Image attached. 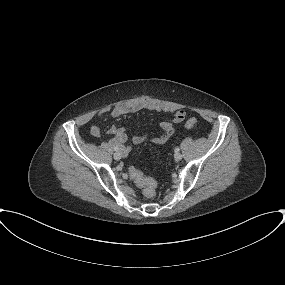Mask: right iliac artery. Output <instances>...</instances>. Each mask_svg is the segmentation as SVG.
Masks as SVG:
<instances>
[{"instance_id": "obj_1", "label": "right iliac artery", "mask_w": 285, "mask_h": 285, "mask_svg": "<svg viewBox=\"0 0 285 285\" xmlns=\"http://www.w3.org/2000/svg\"><path fill=\"white\" fill-rule=\"evenodd\" d=\"M114 150H115V151H119V148H118V147H114Z\"/></svg>"}]
</instances>
